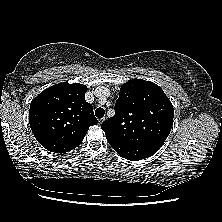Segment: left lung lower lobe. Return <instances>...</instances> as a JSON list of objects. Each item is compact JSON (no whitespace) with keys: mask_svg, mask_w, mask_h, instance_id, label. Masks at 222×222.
Wrapping results in <instances>:
<instances>
[{"mask_svg":"<svg viewBox=\"0 0 222 222\" xmlns=\"http://www.w3.org/2000/svg\"><path fill=\"white\" fill-rule=\"evenodd\" d=\"M108 142L121 157L131 161H139L148 158L159 150L151 146H128L121 143Z\"/></svg>","mask_w":222,"mask_h":222,"instance_id":"left-lung-lower-lobe-1","label":"left lung lower lobe"}]
</instances>
